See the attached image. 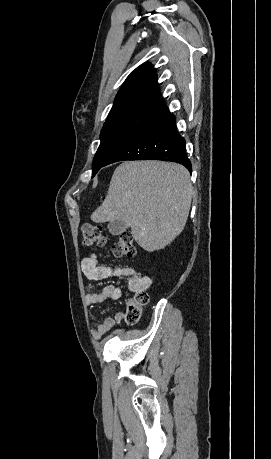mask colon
<instances>
[{"label": "colon", "mask_w": 271, "mask_h": 459, "mask_svg": "<svg viewBox=\"0 0 271 459\" xmlns=\"http://www.w3.org/2000/svg\"><path fill=\"white\" fill-rule=\"evenodd\" d=\"M80 235L83 244L87 247L103 246L106 242L103 230L100 226L92 224H82ZM112 254L116 257L131 258L135 254L133 236L130 231L122 232L112 247ZM148 302V295L141 291L137 292L127 302L126 321L129 324L136 323L140 316L142 307Z\"/></svg>", "instance_id": "obj_1"}]
</instances>
